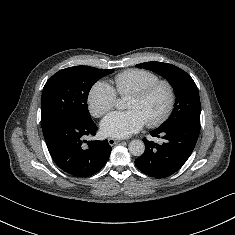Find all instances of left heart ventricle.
<instances>
[{
  "mask_svg": "<svg viewBox=\"0 0 235 235\" xmlns=\"http://www.w3.org/2000/svg\"><path fill=\"white\" fill-rule=\"evenodd\" d=\"M167 103V94L164 89L157 90L146 100H140L130 97L127 102V108L136 109L142 113L146 121L158 116L165 108Z\"/></svg>",
  "mask_w": 235,
  "mask_h": 235,
  "instance_id": "left-heart-ventricle-1",
  "label": "left heart ventricle"
}]
</instances>
